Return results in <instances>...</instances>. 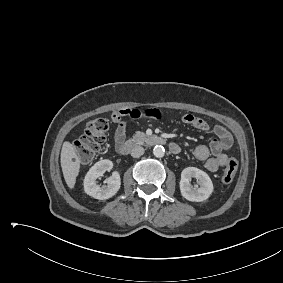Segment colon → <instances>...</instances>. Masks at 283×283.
I'll return each mask as SVG.
<instances>
[{
  "label": "colon",
  "mask_w": 283,
  "mask_h": 283,
  "mask_svg": "<svg viewBox=\"0 0 283 283\" xmlns=\"http://www.w3.org/2000/svg\"><path fill=\"white\" fill-rule=\"evenodd\" d=\"M109 129V122L104 118H97L87 123L83 134L75 142L78 157L82 162H88L104 145ZM238 169V161L230 158L222 172L221 181L230 183Z\"/></svg>",
  "instance_id": "obj_1"
}]
</instances>
